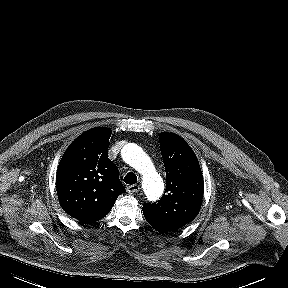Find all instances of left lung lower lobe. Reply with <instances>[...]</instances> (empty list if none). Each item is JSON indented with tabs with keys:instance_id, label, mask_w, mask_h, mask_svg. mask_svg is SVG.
I'll return each instance as SVG.
<instances>
[{
	"instance_id": "1",
	"label": "left lung lower lobe",
	"mask_w": 288,
	"mask_h": 288,
	"mask_svg": "<svg viewBox=\"0 0 288 288\" xmlns=\"http://www.w3.org/2000/svg\"><path fill=\"white\" fill-rule=\"evenodd\" d=\"M144 213V217L147 220V222L157 231L161 232V233H168V232H175L176 229H174L171 226L165 225L155 219H153L152 217H150L147 213Z\"/></svg>"
}]
</instances>
